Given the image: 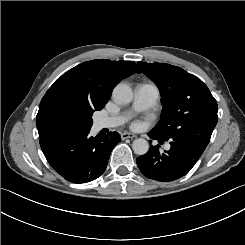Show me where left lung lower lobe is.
<instances>
[{
    "mask_svg": "<svg viewBox=\"0 0 245 245\" xmlns=\"http://www.w3.org/2000/svg\"><path fill=\"white\" fill-rule=\"evenodd\" d=\"M152 139L162 144L170 140L171 148L164 153L159 152V145L151 146L150 150L136 159L141 173L149 179L161 182L177 180L186 175L204 152L207 144L188 137L165 139L153 130L148 133Z\"/></svg>",
    "mask_w": 245,
    "mask_h": 245,
    "instance_id": "1",
    "label": "left lung lower lobe"
}]
</instances>
